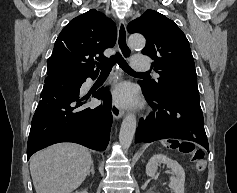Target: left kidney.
Listing matches in <instances>:
<instances>
[{
    "mask_svg": "<svg viewBox=\"0 0 237 193\" xmlns=\"http://www.w3.org/2000/svg\"><path fill=\"white\" fill-rule=\"evenodd\" d=\"M160 164H165L167 168L171 169V174L173 176L170 177L169 187L173 192L184 193L185 172L177 161L172 160L163 154H155L146 165V174L150 177H154Z\"/></svg>",
    "mask_w": 237,
    "mask_h": 193,
    "instance_id": "5707ae66",
    "label": "left kidney"
}]
</instances>
